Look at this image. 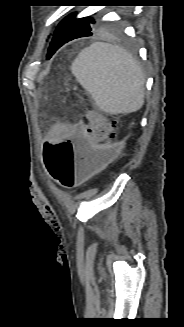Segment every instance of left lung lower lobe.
I'll return each mask as SVG.
<instances>
[{
    "instance_id": "1",
    "label": "left lung lower lobe",
    "mask_w": 184,
    "mask_h": 327,
    "mask_svg": "<svg viewBox=\"0 0 184 327\" xmlns=\"http://www.w3.org/2000/svg\"><path fill=\"white\" fill-rule=\"evenodd\" d=\"M87 35V36H91ZM84 37L81 36L78 31L74 29H70L68 25L62 20L57 29L55 30L54 36L52 38V41L50 43L48 53H47V59H50V57L58 50L62 45H64L66 42L71 41L73 39Z\"/></svg>"
}]
</instances>
